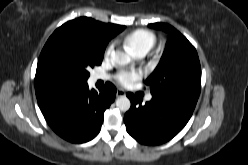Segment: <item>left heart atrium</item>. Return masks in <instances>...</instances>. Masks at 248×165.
I'll use <instances>...</instances> for the list:
<instances>
[{"instance_id":"1","label":"left heart atrium","mask_w":248,"mask_h":165,"mask_svg":"<svg viewBox=\"0 0 248 165\" xmlns=\"http://www.w3.org/2000/svg\"><path fill=\"white\" fill-rule=\"evenodd\" d=\"M141 77L142 73L139 70H122L117 75V81L125 87H130Z\"/></svg>"}]
</instances>
